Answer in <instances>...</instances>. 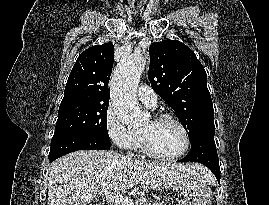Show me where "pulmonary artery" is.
Instances as JSON below:
<instances>
[{
    "label": "pulmonary artery",
    "instance_id": "obj_1",
    "mask_svg": "<svg viewBox=\"0 0 269 205\" xmlns=\"http://www.w3.org/2000/svg\"><path fill=\"white\" fill-rule=\"evenodd\" d=\"M138 96L140 101L148 106V107H155L157 103V95L154 92V90L147 86V85H142L138 89Z\"/></svg>",
    "mask_w": 269,
    "mask_h": 205
}]
</instances>
